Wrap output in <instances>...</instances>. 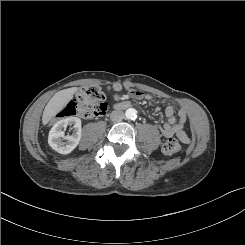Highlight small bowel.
I'll list each match as a JSON object with an SVG mask.
<instances>
[{
  "label": "small bowel",
  "mask_w": 245,
  "mask_h": 245,
  "mask_svg": "<svg viewBox=\"0 0 245 245\" xmlns=\"http://www.w3.org/2000/svg\"><path fill=\"white\" fill-rule=\"evenodd\" d=\"M129 94L132 98L138 100H150L151 95L143 91L129 88ZM124 103V102H123ZM175 114V106L169 105L165 110L166 122L159 126L160 131L164 137L178 136L182 141L189 140V136L185 131V123L187 121V114L184 110H179L177 116Z\"/></svg>",
  "instance_id": "1"
}]
</instances>
